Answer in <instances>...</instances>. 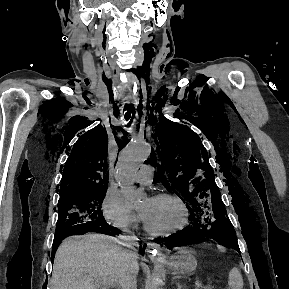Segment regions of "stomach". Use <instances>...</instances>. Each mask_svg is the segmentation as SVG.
<instances>
[{
  "instance_id": "obj_1",
  "label": "stomach",
  "mask_w": 289,
  "mask_h": 289,
  "mask_svg": "<svg viewBox=\"0 0 289 289\" xmlns=\"http://www.w3.org/2000/svg\"><path fill=\"white\" fill-rule=\"evenodd\" d=\"M170 269L177 275H190L197 267L194 251L183 247L176 254L168 258Z\"/></svg>"
}]
</instances>
